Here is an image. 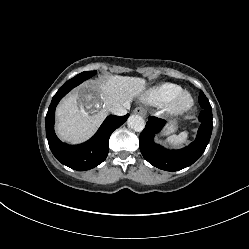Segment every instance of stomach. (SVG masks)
<instances>
[{"label": "stomach", "mask_w": 249, "mask_h": 249, "mask_svg": "<svg viewBox=\"0 0 249 249\" xmlns=\"http://www.w3.org/2000/svg\"><path fill=\"white\" fill-rule=\"evenodd\" d=\"M177 130V124L174 120L169 121L166 128L163 130L164 135H169Z\"/></svg>", "instance_id": "1"}]
</instances>
